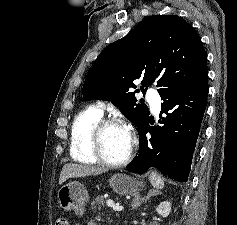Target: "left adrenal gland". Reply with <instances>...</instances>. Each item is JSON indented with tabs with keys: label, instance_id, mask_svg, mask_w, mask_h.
<instances>
[{
	"label": "left adrenal gland",
	"instance_id": "obj_1",
	"mask_svg": "<svg viewBox=\"0 0 237 225\" xmlns=\"http://www.w3.org/2000/svg\"><path fill=\"white\" fill-rule=\"evenodd\" d=\"M161 192L160 191H157V190H153L151 192H149V194L144 197V198H141L140 195H135L134 198H133V201H132V210H134L135 208H137L138 206H140V204L144 201V200H147L148 198H150L151 196H154V195H158L160 194Z\"/></svg>",
	"mask_w": 237,
	"mask_h": 225
}]
</instances>
